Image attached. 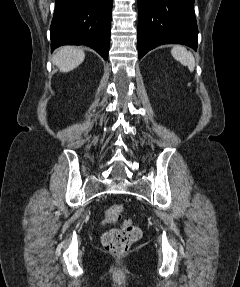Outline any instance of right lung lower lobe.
<instances>
[{
  "label": "right lung lower lobe",
  "mask_w": 240,
  "mask_h": 287,
  "mask_svg": "<svg viewBox=\"0 0 240 287\" xmlns=\"http://www.w3.org/2000/svg\"><path fill=\"white\" fill-rule=\"evenodd\" d=\"M113 0H55L51 50L87 45L108 59Z\"/></svg>",
  "instance_id": "obj_1"
}]
</instances>
